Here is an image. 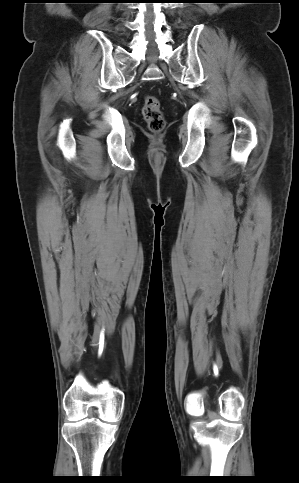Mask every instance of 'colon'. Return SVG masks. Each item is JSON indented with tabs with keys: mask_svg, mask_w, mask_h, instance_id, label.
<instances>
[{
	"mask_svg": "<svg viewBox=\"0 0 299 483\" xmlns=\"http://www.w3.org/2000/svg\"><path fill=\"white\" fill-rule=\"evenodd\" d=\"M142 114L150 131L159 133L165 126V119L160 108V102L154 95H147L144 98Z\"/></svg>",
	"mask_w": 299,
	"mask_h": 483,
	"instance_id": "colon-1",
	"label": "colon"
}]
</instances>
